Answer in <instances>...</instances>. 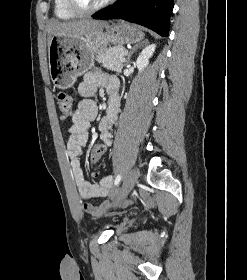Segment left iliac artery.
I'll return each instance as SVG.
<instances>
[{"label":"left iliac artery","mask_w":247,"mask_h":280,"mask_svg":"<svg viewBox=\"0 0 247 280\" xmlns=\"http://www.w3.org/2000/svg\"><path fill=\"white\" fill-rule=\"evenodd\" d=\"M121 181V175L118 174L117 177L115 178V186H117Z\"/></svg>","instance_id":"44dca946"}]
</instances>
